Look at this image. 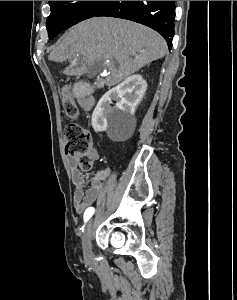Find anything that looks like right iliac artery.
I'll use <instances>...</instances> for the list:
<instances>
[{"instance_id": "1", "label": "right iliac artery", "mask_w": 237, "mask_h": 300, "mask_svg": "<svg viewBox=\"0 0 237 300\" xmlns=\"http://www.w3.org/2000/svg\"><path fill=\"white\" fill-rule=\"evenodd\" d=\"M94 208L93 207H89L86 209L85 213H84V221L87 222L91 216L94 214Z\"/></svg>"}]
</instances>
